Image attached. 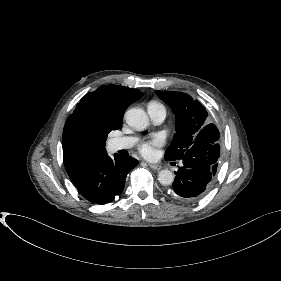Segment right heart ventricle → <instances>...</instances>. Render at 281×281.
<instances>
[{
  "label": "right heart ventricle",
  "instance_id": "e07e8e85",
  "mask_svg": "<svg viewBox=\"0 0 281 281\" xmlns=\"http://www.w3.org/2000/svg\"><path fill=\"white\" fill-rule=\"evenodd\" d=\"M150 106L165 109V107L162 104L158 103V102H151L148 107H150Z\"/></svg>",
  "mask_w": 281,
  "mask_h": 281
}]
</instances>
